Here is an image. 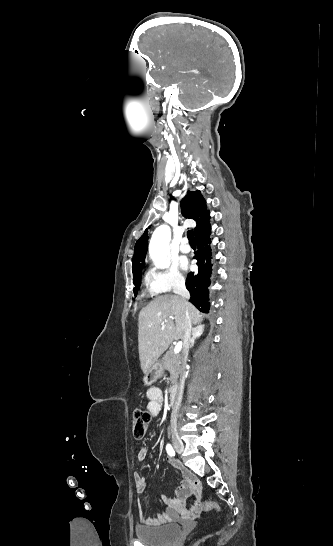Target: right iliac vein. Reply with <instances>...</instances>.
Segmentation results:
<instances>
[{
	"label": "right iliac vein",
	"instance_id": "1",
	"mask_svg": "<svg viewBox=\"0 0 333 546\" xmlns=\"http://www.w3.org/2000/svg\"><path fill=\"white\" fill-rule=\"evenodd\" d=\"M172 443H173V446H174L175 450L179 454H182L184 452V444L177 435L172 436Z\"/></svg>",
	"mask_w": 333,
	"mask_h": 546
}]
</instances>
